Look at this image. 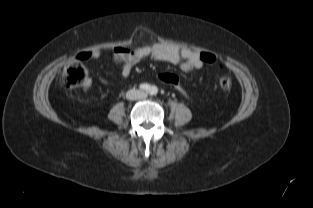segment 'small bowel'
<instances>
[{
  "instance_id": "c3829d8e",
  "label": "small bowel",
  "mask_w": 313,
  "mask_h": 208,
  "mask_svg": "<svg viewBox=\"0 0 313 208\" xmlns=\"http://www.w3.org/2000/svg\"><path fill=\"white\" fill-rule=\"evenodd\" d=\"M112 55L114 62L122 65L121 73L123 77H128L132 68L145 58H153L157 61L179 65L183 71L201 69L204 64L198 52L187 48L179 49L162 43H154L133 50L116 47L113 49ZM79 57L84 60H95L100 57V52L93 50L82 53ZM89 86L90 82H87L85 87L88 88Z\"/></svg>"
}]
</instances>
